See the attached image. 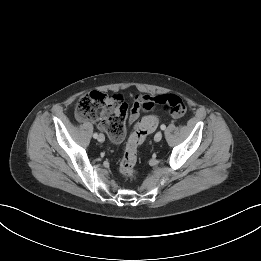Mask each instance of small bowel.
Returning <instances> with one entry per match:
<instances>
[{
  "label": "small bowel",
  "mask_w": 261,
  "mask_h": 261,
  "mask_svg": "<svg viewBox=\"0 0 261 261\" xmlns=\"http://www.w3.org/2000/svg\"><path fill=\"white\" fill-rule=\"evenodd\" d=\"M153 99H154V97H152L150 95H141V96H137L135 98V100L131 106L129 120H128L130 124L134 123L139 118L140 113L142 111H149L152 109L149 107V105L153 101ZM110 139L112 140V137H110ZM123 139L119 142H114L113 140L112 141L114 143H120L123 141Z\"/></svg>",
  "instance_id": "c3829d8e"
}]
</instances>
